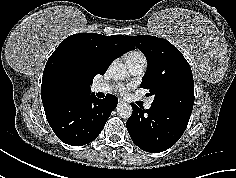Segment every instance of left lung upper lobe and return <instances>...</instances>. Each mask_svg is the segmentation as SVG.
<instances>
[{
    "mask_svg": "<svg viewBox=\"0 0 236 178\" xmlns=\"http://www.w3.org/2000/svg\"><path fill=\"white\" fill-rule=\"evenodd\" d=\"M147 58L142 88L154 96V104L192 112L194 81L189 63L169 41L149 35L127 36Z\"/></svg>",
    "mask_w": 236,
    "mask_h": 178,
    "instance_id": "left-lung-upper-lobe-1",
    "label": "left lung upper lobe"
}]
</instances>
